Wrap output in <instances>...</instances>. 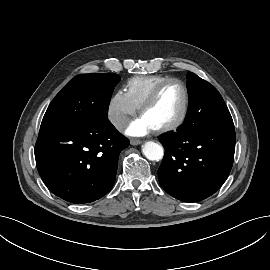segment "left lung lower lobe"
<instances>
[{
  "label": "left lung lower lobe",
  "mask_w": 270,
  "mask_h": 270,
  "mask_svg": "<svg viewBox=\"0 0 270 270\" xmlns=\"http://www.w3.org/2000/svg\"><path fill=\"white\" fill-rule=\"evenodd\" d=\"M188 112L176 132L159 137L165 154L158 178L174 198L198 202L226 181L234 160L235 129L234 125L196 126Z\"/></svg>",
  "instance_id": "0a47b994"
}]
</instances>
